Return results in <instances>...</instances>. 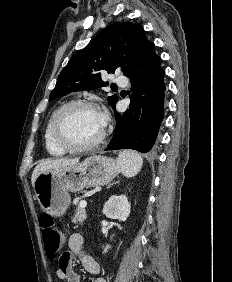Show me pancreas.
Wrapping results in <instances>:
<instances>
[{"instance_id": "obj_1", "label": "pancreas", "mask_w": 232, "mask_h": 282, "mask_svg": "<svg viewBox=\"0 0 232 282\" xmlns=\"http://www.w3.org/2000/svg\"><path fill=\"white\" fill-rule=\"evenodd\" d=\"M86 219V210L84 208H77V212L75 213L73 217V223H83V221Z\"/></svg>"}]
</instances>
